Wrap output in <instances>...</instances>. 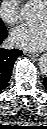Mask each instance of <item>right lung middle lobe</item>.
<instances>
[{
  "mask_svg": "<svg viewBox=\"0 0 47 129\" xmlns=\"http://www.w3.org/2000/svg\"><path fill=\"white\" fill-rule=\"evenodd\" d=\"M5 28L4 24L2 23V21H0V29Z\"/></svg>",
  "mask_w": 47,
  "mask_h": 129,
  "instance_id": "obj_1",
  "label": "right lung middle lobe"
}]
</instances>
